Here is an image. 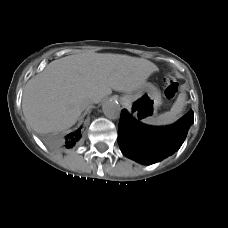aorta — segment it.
<instances>
[{
  "label": "aorta",
  "mask_w": 228,
  "mask_h": 228,
  "mask_svg": "<svg viewBox=\"0 0 228 228\" xmlns=\"http://www.w3.org/2000/svg\"><path fill=\"white\" fill-rule=\"evenodd\" d=\"M103 113L110 119H117L120 117L121 108L117 101L106 100L102 105Z\"/></svg>",
  "instance_id": "aorta-1"
}]
</instances>
